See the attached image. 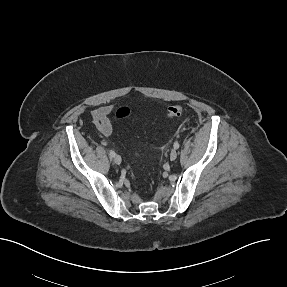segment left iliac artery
I'll list each match as a JSON object with an SVG mask.
<instances>
[{
  "label": "left iliac artery",
  "mask_w": 287,
  "mask_h": 287,
  "mask_svg": "<svg viewBox=\"0 0 287 287\" xmlns=\"http://www.w3.org/2000/svg\"><path fill=\"white\" fill-rule=\"evenodd\" d=\"M173 146H174L175 149H178L180 145H179L178 142H175Z\"/></svg>",
  "instance_id": "obj_1"
}]
</instances>
